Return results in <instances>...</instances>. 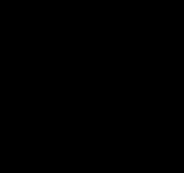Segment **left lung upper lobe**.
Wrapping results in <instances>:
<instances>
[{
    "instance_id": "5c2ea615",
    "label": "left lung upper lobe",
    "mask_w": 184,
    "mask_h": 173,
    "mask_svg": "<svg viewBox=\"0 0 184 173\" xmlns=\"http://www.w3.org/2000/svg\"><path fill=\"white\" fill-rule=\"evenodd\" d=\"M120 94L126 126L149 141H159L167 119L165 90L158 73L139 53L126 59Z\"/></svg>"
}]
</instances>
